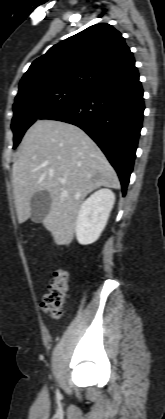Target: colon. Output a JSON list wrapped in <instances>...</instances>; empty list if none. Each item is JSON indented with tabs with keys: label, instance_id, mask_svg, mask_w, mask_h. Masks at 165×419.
Returning <instances> with one entry per match:
<instances>
[{
	"label": "colon",
	"instance_id": "1",
	"mask_svg": "<svg viewBox=\"0 0 165 419\" xmlns=\"http://www.w3.org/2000/svg\"><path fill=\"white\" fill-rule=\"evenodd\" d=\"M68 291V273L64 269L55 271L51 279L48 291L42 302V309L51 317L57 319L61 317L62 305Z\"/></svg>",
	"mask_w": 165,
	"mask_h": 419
}]
</instances>
